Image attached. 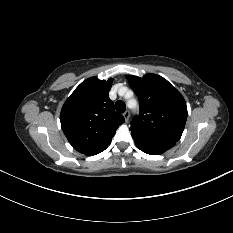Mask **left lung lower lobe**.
<instances>
[{"label": "left lung lower lobe", "mask_w": 233, "mask_h": 233, "mask_svg": "<svg viewBox=\"0 0 233 233\" xmlns=\"http://www.w3.org/2000/svg\"><path fill=\"white\" fill-rule=\"evenodd\" d=\"M136 146L150 155H159L172 148L175 143L158 139H138L132 136Z\"/></svg>", "instance_id": "0a47b994"}]
</instances>
